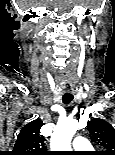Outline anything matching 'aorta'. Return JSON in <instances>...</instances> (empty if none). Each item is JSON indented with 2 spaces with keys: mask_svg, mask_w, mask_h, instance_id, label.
<instances>
[{
  "mask_svg": "<svg viewBox=\"0 0 115 155\" xmlns=\"http://www.w3.org/2000/svg\"><path fill=\"white\" fill-rule=\"evenodd\" d=\"M78 129V121L68 118L57 123L51 137L50 147L52 151H70L71 139Z\"/></svg>",
  "mask_w": 115,
  "mask_h": 155,
  "instance_id": "1",
  "label": "aorta"
}]
</instances>
